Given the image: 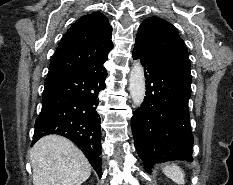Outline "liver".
<instances>
[{
  "label": "liver",
  "mask_w": 233,
  "mask_h": 185,
  "mask_svg": "<svg viewBox=\"0 0 233 185\" xmlns=\"http://www.w3.org/2000/svg\"><path fill=\"white\" fill-rule=\"evenodd\" d=\"M34 185H81L91 174V165L70 140L47 135L30 150Z\"/></svg>",
  "instance_id": "1"
}]
</instances>
